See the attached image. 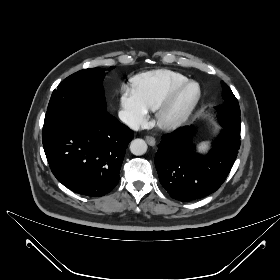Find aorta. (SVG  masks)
I'll use <instances>...</instances> for the list:
<instances>
[{
  "instance_id": "762f6f07",
  "label": "aorta",
  "mask_w": 280,
  "mask_h": 280,
  "mask_svg": "<svg viewBox=\"0 0 280 280\" xmlns=\"http://www.w3.org/2000/svg\"><path fill=\"white\" fill-rule=\"evenodd\" d=\"M147 148V144L143 139H134L130 144V151L136 156L145 154Z\"/></svg>"
}]
</instances>
